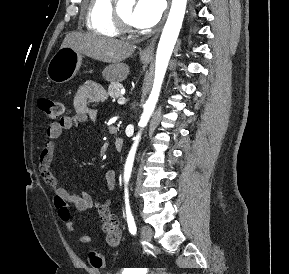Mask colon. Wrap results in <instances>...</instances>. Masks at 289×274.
<instances>
[{"mask_svg":"<svg viewBox=\"0 0 289 274\" xmlns=\"http://www.w3.org/2000/svg\"><path fill=\"white\" fill-rule=\"evenodd\" d=\"M39 107L50 119H57L63 113L62 103L53 99H49V98L40 99ZM89 261H90V264L96 269L105 268V265H106L105 258L98 251L90 252ZM127 274H134V273H132V271H128Z\"/></svg>","mask_w":289,"mask_h":274,"instance_id":"obj_1","label":"colon"}]
</instances>
